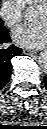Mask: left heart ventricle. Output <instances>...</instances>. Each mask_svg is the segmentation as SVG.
<instances>
[{"mask_svg": "<svg viewBox=\"0 0 47 129\" xmlns=\"http://www.w3.org/2000/svg\"><path fill=\"white\" fill-rule=\"evenodd\" d=\"M46 11L43 7H40L36 12H35V16L34 19L36 21H40V22H44L46 20Z\"/></svg>", "mask_w": 47, "mask_h": 129, "instance_id": "left-heart-ventricle-1", "label": "left heart ventricle"}]
</instances>
